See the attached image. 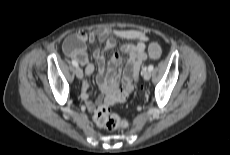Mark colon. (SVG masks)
I'll use <instances>...</instances> for the list:
<instances>
[{"instance_id":"1","label":"colon","mask_w":230,"mask_h":155,"mask_svg":"<svg viewBox=\"0 0 230 155\" xmlns=\"http://www.w3.org/2000/svg\"><path fill=\"white\" fill-rule=\"evenodd\" d=\"M74 44H78L77 41ZM149 55L153 59H158L161 55V47L157 42H152L149 45ZM94 121L104 129L108 131H113L119 127H127L128 122L126 120L121 119L115 114L110 113L107 106L98 105L94 109L93 114Z\"/></svg>"}]
</instances>
